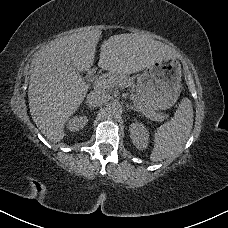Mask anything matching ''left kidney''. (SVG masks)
<instances>
[{"instance_id":"5707ae66","label":"left kidney","mask_w":228,"mask_h":228,"mask_svg":"<svg viewBox=\"0 0 228 228\" xmlns=\"http://www.w3.org/2000/svg\"><path fill=\"white\" fill-rule=\"evenodd\" d=\"M130 138L133 144L139 150H144L147 147V142H148L147 132L141 124L139 123L131 124Z\"/></svg>"}]
</instances>
